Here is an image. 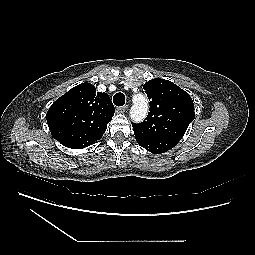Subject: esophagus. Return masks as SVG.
<instances>
[{
	"label": "esophagus",
	"instance_id": "34e87169",
	"mask_svg": "<svg viewBox=\"0 0 255 255\" xmlns=\"http://www.w3.org/2000/svg\"><path fill=\"white\" fill-rule=\"evenodd\" d=\"M127 109H128L127 105L116 108L117 112H119V113H124Z\"/></svg>",
	"mask_w": 255,
	"mask_h": 255
}]
</instances>
